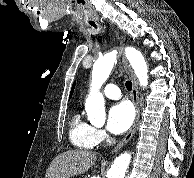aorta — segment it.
I'll return each instance as SVG.
<instances>
[{"mask_svg":"<svg viewBox=\"0 0 194 178\" xmlns=\"http://www.w3.org/2000/svg\"><path fill=\"white\" fill-rule=\"evenodd\" d=\"M125 55L140 85L146 87L148 84V67L142 53L133 47H127L125 48ZM116 60L117 51H112L104 55L93 66L90 93L85 102L87 117L92 124L105 122V101L100 88L109 77ZM130 161L131 155L129 153L118 156L108 171L107 178H124Z\"/></svg>","mask_w":194,"mask_h":178,"instance_id":"762f6f07","label":"aorta"}]
</instances>
